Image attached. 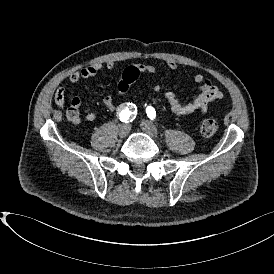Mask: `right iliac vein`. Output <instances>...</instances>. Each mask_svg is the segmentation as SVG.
<instances>
[{
	"instance_id": "right-iliac-vein-1",
	"label": "right iliac vein",
	"mask_w": 274,
	"mask_h": 274,
	"mask_svg": "<svg viewBox=\"0 0 274 274\" xmlns=\"http://www.w3.org/2000/svg\"><path fill=\"white\" fill-rule=\"evenodd\" d=\"M129 131H130V125L129 124L120 125L119 132H118L119 137L120 138H125L128 135Z\"/></svg>"
}]
</instances>
